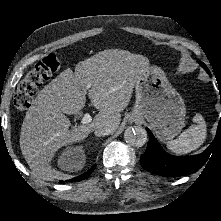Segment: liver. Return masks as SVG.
Masks as SVG:
<instances>
[{
  "label": "liver",
  "instance_id": "liver-1",
  "mask_svg": "<svg viewBox=\"0 0 221 221\" xmlns=\"http://www.w3.org/2000/svg\"><path fill=\"white\" fill-rule=\"evenodd\" d=\"M149 66L148 58L126 50L100 51L68 68L46 85L26 112L20 148L35 177L46 181L64 179L51 160L63 146L83 141L98 126L119 127L138 76ZM99 110L93 121L69 129L65 114L79 113L86 93Z\"/></svg>",
  "mask_w": 221,
  "mask_h": 221
}]
</instances>
